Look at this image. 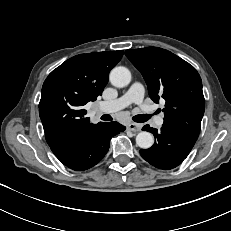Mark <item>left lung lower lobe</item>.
Wrapping results in <instances>:
<instances>
[{"label": "left lung lower lobe", "instance_id": "obj_1", "mask_svg": "<svg viewBox=\"0 0 231 231\" xmlns=\"http://www.w3.org/2000/svg\"><path fill=\"white\" fill-rule=\"evenodd\" d=\"M142 130L153 133L156 142L149 149H141V156L151 165L163 170L181 164L196 142L195 139L165 124L160 131L149 125H145Z\"/></svg>", "mask_w": 231, "mask_h": 231}]
</instances>
